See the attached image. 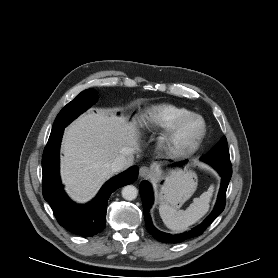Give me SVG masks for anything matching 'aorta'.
<instances>
[{"label": "aorta", "instance_id": "aorta-1", "mask_svg": "<svg viewBox=\"0 0 278 278\" xmlns=\"http://www.w3.org/2000/svg\"><path fill=\"white\" fill-rule=\"evenodd\" d=\"M121 193H122V197L125 200L132 201V200L136 199L138 190L133 185H127V186L123 187Z\"/></svg>", "mask_w": 278, "mask_h": 278}]
</instances>
